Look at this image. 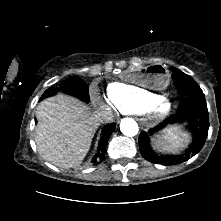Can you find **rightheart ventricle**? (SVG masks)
<instances>
[{
	"instance_id": "right-heart-ventricle-1",
	"label": "right heart ventricle",
	"mask_w": 221,
	"mask_h": 221,
	"mask_svg": "<svg viewBox=\"0 0 221 221\" xmlns=\"http://www.w3.org/2000/svg\"><path fill=\"white\" fill-rule=\"evenodd\" d=\"M107 95L109 102L117 112L122 114H141L148 105L156 100L159 95L140 86L113 82L108 85Z\"/></svg>"
}]
</instances>
